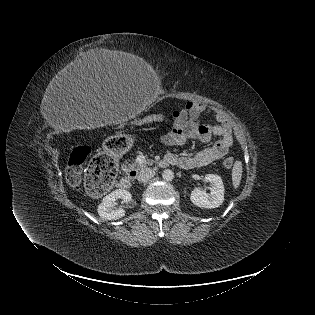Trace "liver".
<instances>
[{"instance_id":"1","label":"liver","mask_w":315,"mask_h":315,"mask_svg":"<svg viewBox=\"0 0 315 315\" xmlns=\"http://www.w3.org/2000/svg\"><path fill=\"white\" fill-rule=\"evenodd\" d=\"M134 61L135 57L132 54L116 50L100 49L83 57L82 60H79L75 65L65 70L62 75L66 79L92 80L94 76L117 78V76L129 71ZM109 122H113L112 117H110Z\"/></svg>"}]
</instances>
